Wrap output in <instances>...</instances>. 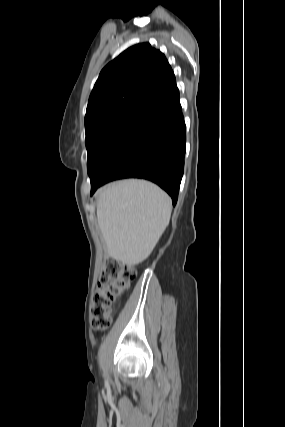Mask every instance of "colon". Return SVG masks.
<instances>
[{"label":"colon","mask_w":285,"mask_h":427,"mask_svg":"<svg viewBox=\"0 0 285 427\" xmlns=\"http://www.w3.org/2000/svg\"><path fill=\"white\" fill-rule=\"evenodd\" d=\"M135 271L127 264L109 260L103 266L92 297L91 325L102 331L112 323L113 304L129 288Z\"/></svg>","instance_id":"5ec220e1"}]
</instances>
